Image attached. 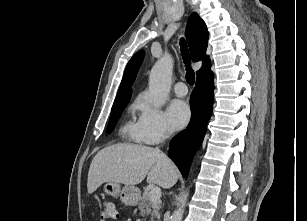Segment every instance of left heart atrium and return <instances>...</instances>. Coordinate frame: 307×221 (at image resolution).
<instances>
[{"label":"left heart atrium","mask_w":307,"mask_h":221,"mask_svg":"<svg viewBox=\"0 0 307 221\" xmlns=\"http://www.w3.org/2000/svg\"><path fill=\"white\" fill-rule=\"evenodd\" d=\"M168 118L175 129L184 128L190 121L191 111L187 103L182 100H174L168 107Z\"/></svg>","instance_id":"39dd6f15"}]
</instances>
